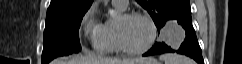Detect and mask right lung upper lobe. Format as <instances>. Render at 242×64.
Returning <instances> with one entry per match:
<instances>
[{
  "label": "right lung upper lobe",
  "instance_id": "cb5924a9",
  "mask_svg": "<svg viewBox=\"0 0 242 64\" xmlns=\"http://www.w3.org/2000/svg\"><path fill=\"white\" fill-rule=\"evenodd\" d=\"M92 2L93 0H51L46 17L87 12Z\"/></svg>",
  "mask_w": 242,
  "mask_h": 64
}]
</instances>
